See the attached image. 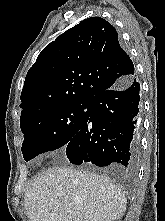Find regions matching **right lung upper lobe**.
Here are the masks:
<instances>
[{
  "label": "right lung upper lobe",
  "mask_w": 165,
  "mask_h": 221,
  "mask_svg": "<svg viewBox=\"0 0 165 221\" xmlns=\"http://www.w3.org/2000/svg\"><path fill=\"white\" fill-rule=\"evenodd\" d=\"M132 60L116 29L87 18L51 42L29 69L21 93L20 122L58 107L89 103L97 94L134 77Z\"/></svg>",
  "instance_id": "obj_1"
}]
</instances>
